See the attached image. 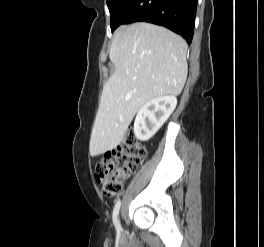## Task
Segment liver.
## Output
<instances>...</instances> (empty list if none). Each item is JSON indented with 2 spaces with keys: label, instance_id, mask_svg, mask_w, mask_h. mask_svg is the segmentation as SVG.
Instances as JSON below:
<instances>
[{
  "label": "liver",
  "instance_id": "1",
  "mask_svg": "<svg viewBox=\"0 0 264 247\" xmlns=\"http://www.w3.org/2000/svg\"><path fill=\"white\" fill-rule=\"evenodd\" d=\"M186 53V42L164 27L139 22L117 29L109 53L115 72L103 87L91 133V156L115 149L147 102L182 92Z\"/></svg>",
  "mask_w": 264,
  "mask_h": 247
}]
</instances>
